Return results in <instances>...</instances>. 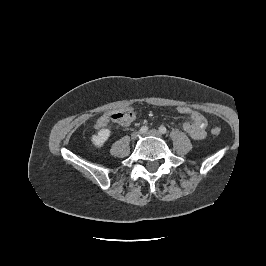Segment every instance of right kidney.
I'll return each mask as SVG.
<instances>
[{"label": "right kidney", "instance_id": "obj_1", "mask_svg": "<svg viewBox=\"0 0 266 266\" xmlns=\"http://www.w3.org/2000/svg\"><path fill=\"white\" fill-rule=\"evenodd\" d=\"M111 134L110 129H101L97 134L91 137V141L96 147H102L104 143L108 140Z\"/></svg>", "mask_w": 266, "mask_h": 266}]
</instances>
